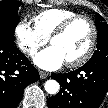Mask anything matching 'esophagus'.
<instances>
[{
    "label": "esophagus",
    "instance_id": "1",
    "mask_svg": "<svg viewBox=\"0 0 108 108\" xmlns=\"http://www.w3.org/2000/svg\"><path fill=\"white\" fill-rule=\"evenodd\" d=\"M39 74L41 79H46L49 77V73L45 71H40Z\"/></svg>",
    "mask_w": 108,
    "mask_h": 108
}]
</instances>
